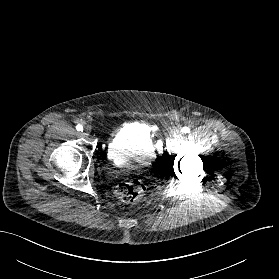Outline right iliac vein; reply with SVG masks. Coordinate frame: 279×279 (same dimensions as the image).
Masks as SVG:
<instances>
[{"label":"right iliac vein","instance_id":"right-iliac-vein-1","mask_svg":"<svg viewBox=\"0 0 279 279\" xmlns=\"http://www.w3.org/2000/svg\"><path fill=\"white\" fill-rule=\"evenodd\" d=\"M91 132V127L89 125L85 126L83 134L88 136Z\"/></svg>","mask_w":279,"mask_h":279}]
</instances>
